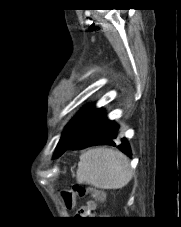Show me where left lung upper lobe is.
<instances>
[{
	"label": "left lung upper lobe",
	"instance_id": "1",
	"mask_svg": "<svg viewBox=\"0 0 181 227\" xmlns=\"http://www.w3.org/2000/svg\"><path fill=\"white\" fill-rule=\"evenodd\" d=\"M97 110L93 106L83 108L66 126L65 131L57 145L54 158L58 157L59 153L75 140L82 132L92 115Z\"/></svg>",
	"mask_w": 181,
	"mask_h": 227
}]
</instances>
